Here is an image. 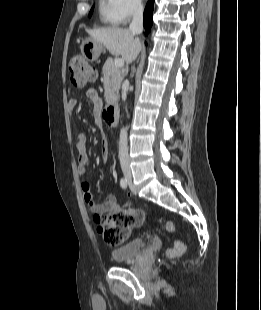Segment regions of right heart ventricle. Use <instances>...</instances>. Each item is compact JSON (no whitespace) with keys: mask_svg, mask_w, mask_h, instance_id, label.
<instances>
[{"mask_svg":"<svg viewBox=\"0 0 261 310\" xmlns=\"http://www.w3.org/2000/svg\"><path fill=\"white\" fill-rule=\"evenodd\" d=\"M98 11L99 18L103 24L108 26L120 24L115 15L114 0H99Z\"/></svg>","mask_w":261,"mask_h":310,"instance_id":"right-heart-ventricle-1","label":"right heart ventricle"}]
</instances>
